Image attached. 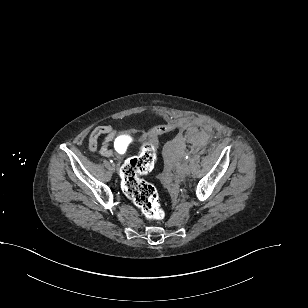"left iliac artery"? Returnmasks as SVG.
I'll return each mask as SVG.
<instances>
[{"instance_id": "left-iliac-artery-1", "label": "left iliac artery", "mask_w": 308, "mask_h": 308, "mask_svg": "<svg viewBox=\"0 0 308 308\" xmlns=\"http://www.w3.org/2000/svg\"><path fill=\"white\" fill-rule=\"evenodd\" d=\"M190 158V155L189 154H186L185 155V159L187 160V159H189Z\"/></svg>"}]
</instances>
